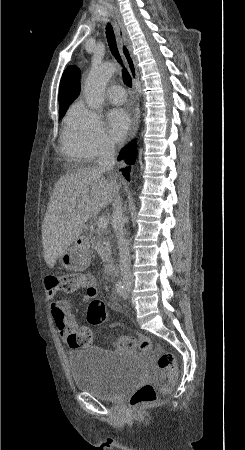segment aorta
Returning <instances> with one entry per match:
<instances>
[{
    "label": "aorta",
    "mask_w": 245,
    "mask_h": 450,
    "mask_svg": "<svg viewBox=\"0 0 245 450\" xmlns=\"http://www.w3.org/2000/svg\"><path fill=\"white\" fill-rule=\"evenodd\" d=\"M116 71L113 63H94L84 84V97L91 109H99L103 103L106 84Z\"/></svg>",
    "instance_id": "762f6f07"
}]
</instances>
